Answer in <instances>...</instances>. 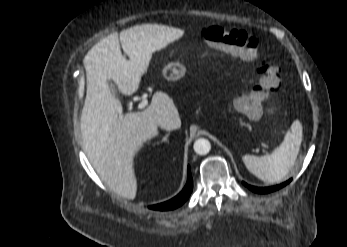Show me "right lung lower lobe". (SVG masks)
Segmentation results:
<instances>
[{"mask_svg":"<svg viewBox=\"0 0 347 247\" xmlns=\"http://www.w3.org/2000/svg\"><path fill=\"white\" fill-rule=\"evenodd\" d=\"M192 189H193V181H192V176L190 172V167L188 166V180L184 189L176 197L172 198L171 200L157 204V205L149 206V208L154 210L175 209L179 207L180 205H182L189 198L192 192Z\"/></svg>","mask_w":347,"mask_h":247,"instance_id":"right-lung-lower-lobe-1","label":"right lung lower lobe"}]
</instances>
